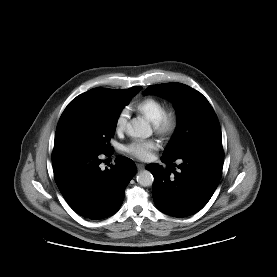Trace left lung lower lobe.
<instances>
[{"instance_id":"left-lung-lower-lobe-1","label":"left lung lower lobe","mask_w":277,"mask_h":277,"mask_svg":"<svg viewBox=\"0 0 277 277\" xmlns=\"http://www.w3.org/2000/svg\"><path fill=\"white\" fill-rule=\"evenodd\" d=\"M179 161V172L172 173V167L170 171L158 164H148L146 169L154 176L152 196L158 209L175 217H186L201 210L219 184L224 161L222 143L204 145Z\"/></svg>"}]
</instances>
